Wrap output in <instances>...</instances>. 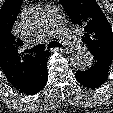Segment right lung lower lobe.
<instances>
[{"label":"right lung lower lobe","mask_w":113,"mask_h":113,"mask_svg":"<svg viewBox=\"0 0 113 113\" xmlns=\"http://www.w3.org/2000/svg\"><path fill=\"white\" fill-rule=\"evenodd\" d=\"M49 56V51L41 52V57L36 64L31 77L15 89L27 95H34L40 92L44 88L48 80L47 61Z\"/></svg>","instance_id":"right-lung-lower-lobe-1"}]
</instances>
